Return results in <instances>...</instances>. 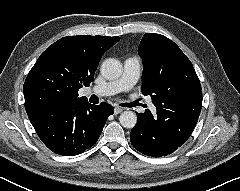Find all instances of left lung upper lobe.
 Listing matches in <instances>:
<instances>
[{"instance_id": "5c2ea615", "label": "left lung upper lobe", "mask_w": 240, "mask_h": 191, "mask_svg": "<svg viewBox=\"0 0 240 191\" xmlns=\"http://www.w3.org/2000/svg\"><path fill=\"white\" fill-rule=\"evenodd\" d=\"M138 53L143 59V95H150L157 111L173 110L184 101L202 106L199 78L177 44L160 34L146 33Z\"/></svg>"}]
</instances>
